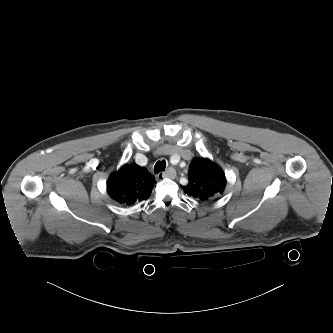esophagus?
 Here are the masks:
<instances>
[{
  "instance_id": "esophagus-1",
  "label": "esophagus",
  "mask_w": 333,
  "mask_h": 333,
  "mask_svg": "<svg viewBox=\"0 0 333 333\" xmlns=\"http://www.w3.org/2000/svg\"><path fill=\"white\" fill-rule=\"evenodd\" d=\"M175 177H176V171L172 167L168 168L166 171L159 173L157 175L158 179H164V178L174 179Z\"/></svg>"
}]
</instances>
